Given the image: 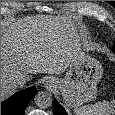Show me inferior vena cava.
<instances>
[{
    "mask_svg": "<svg viewBox=\"0 0 115 115\" xmlns=\"http://www.w3.org/2000/svg\"><path fill=\"white\" fill-rule=\"evenodd\" d=\"M27 77L25 75L17 76L14 80V84L17 87H23L26 84Z\"/></svg>",
    "mask_w": 115,
    "mask_h": 115,
    "instance_id": "inferior-vena-cava-1",
    "label": "inferior vena cava"
}]
</instances>
